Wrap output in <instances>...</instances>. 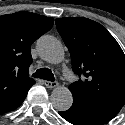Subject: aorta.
Segmentation results:
<instances>
[{
  "mask_svg": "<svg viewBox=\"0 0 125 125\" xmlns=\"http://www.w3.org/2000/svg\"><path fill=\"white\" fill-rule=\"evenodd\" d=\"M37 47L40 57L48 63L58 64L64 60V47L52 36L46 35L39 38ZM51 102L56 110L66 111L72 106V93L68 88L58 86L51 93Z\"/></svg>",
  "mask_w": 125,
  "mask_h": 125,
  "instance_id": "obj_1",
  "label": "aorta"
}]
</instances>
